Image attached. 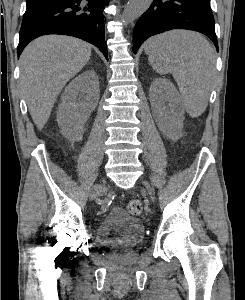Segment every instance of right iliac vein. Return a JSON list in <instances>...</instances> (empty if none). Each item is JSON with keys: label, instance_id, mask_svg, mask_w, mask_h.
<instances>
[{"label": "right iliac vein", "instance_id": "obj_1", "mask_svg": "<svg viewBox=\"0 0 245 300\" xmlns=\"http://www.w3.org/2000/svg\"><path fill=\"white\" fill-rule=\"evenodd\" d=\"M102 189L99 185L94 186L90 194L91 199L95 198Z\"/></svg>", "mask_w": 245, "mask_h": 300}]
</instances>
